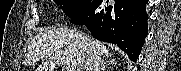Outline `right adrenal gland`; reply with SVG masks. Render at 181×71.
<instances>
[{"label": "right adrenal gland", "mask_w": 181, "mask_h": 71, "mask_svg": "<svg viewBox=\"0 0 181 71\" xmlns=\"http://www.w3.org/2000/svg\"><path fill=\"white\" fill-rule=\"evenodd\" d=\"M114 64H115V60L114 59H112V58L108 59V57H106L104 63L102 64L101 71H105L106 68L111 69L112 65H114Z\"/></svg>", "instance_id": "1"}]
</instances>
